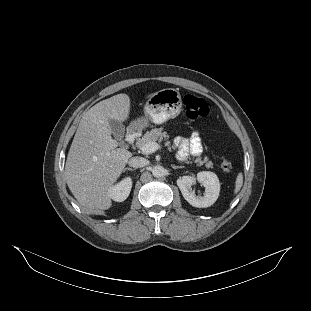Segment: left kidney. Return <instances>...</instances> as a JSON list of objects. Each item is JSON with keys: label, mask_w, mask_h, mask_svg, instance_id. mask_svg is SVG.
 <instances>
[{"label": "left kidney", "mask_w": 311, "mask_h": 311, "mask_svg": "<svg viewBox=\"0 0 311 311\" xmlns=\"http://www.w3.org/2000/svg\"><path fill=\"white\" fill-rule=\"evenodd\" d=\"M197 181L205 187L203 196L195 194L192 185L196 179L191 176H182L177 179V185L184 199L192 206L198 208L209 207L216 202L220 192V182L217 175L210 171L197 173Z\"/></svg>", "instance_id": "1"}]
</instances>
